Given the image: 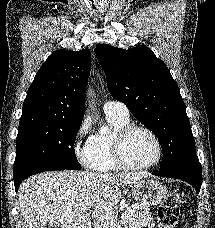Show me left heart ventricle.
<instances>
[{
    "label": "left heart ventricle",
    "mask_w": 215,
    "mask_h": 228,
    "mask_svg": "<svg viewBox=\"0 0 215 228\" xmlns=\"http://www.w3.org/2000/svg\"><path fill=\"white\" fill-rule=\"evenodd\" d=\"M123 153L129 164L139 166L153 160L156 149L151 137L145 131L136 129L125 140Z\"/></svg>",
    "instance_id": "obj_1"
}]
</instances>
